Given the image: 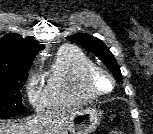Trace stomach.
<instances>
[{
	"instance_id": "obj_1",
	"label": "stomach",
	"mask_w": 153,
	"mask_h": 134,
	"mask_svg": "<svg viewBox=\"0 0 153 134\" xmlns=\"http://www.w3.org/2000/svg\"><path fill=\"white\" fill-rule=\"evenodd\" d=\"M100 123V112L93 108L77 110L69 126L71 134H91Z\"/></svg>"
}]
</instances>
